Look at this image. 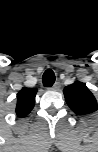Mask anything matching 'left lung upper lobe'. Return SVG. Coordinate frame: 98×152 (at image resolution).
Here are the masks:
<instances>
[{
	"mask_svg": "<svg viewBox=\"0 0 98 152\" xmlns=\"http://www.w3.org/2000/svg\"><path fill=\"white\" fill-rule=\"evenodd\" d=\"M68 106L78 115H88L98 110V102L87 86L79 81L63 90Z\"/></svg>",
	"mask_w": 98,
	"mask_h": 152,
	"instance_id": "left-lung-upper-lobe-1",
	"label": "left lung upper lobe"
}]
</instances>
